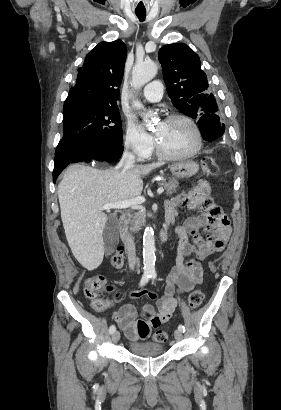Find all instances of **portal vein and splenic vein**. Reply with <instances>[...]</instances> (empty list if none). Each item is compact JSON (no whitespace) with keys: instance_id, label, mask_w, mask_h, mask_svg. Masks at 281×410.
Returning <instances> with one entry per match:
<instances>
[{"instance_id":"portal-vein-and-splenic-vein-1","label":"portal vein and splenic vein","mask_w":281,"mask_h":410,"mask_svg":"<svg viewBox=\"0 0 281 410\" xmlns=\"http://www.w3.org/2000/svg\"><path fill=\"white\" fill-rule=\"evenodd\" d=\"M163 192H164L163 187H160V188L157 189L158 194H162ZM144 202H145V197L138 196L136 198L126 200V201H122V202H115V203L105 204L100 208V210L136 208Z\"/></svg>"}]
</instances>
